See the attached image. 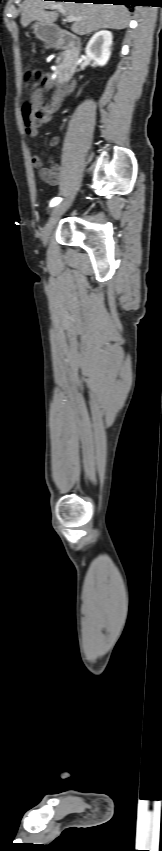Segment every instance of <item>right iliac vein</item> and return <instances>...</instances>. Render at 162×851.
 Returning a JSON list of instances; mask_svg holds the SVG:
<instances>
[{"label": "right iliac vein", "instance_id": "obj_1", "mask_svg": "<svg viewBox=\"0 0 162 851\" xmlns=\"http://www.w3.org/2000/svg\"><path fill=\"white\" fill-rule=\"evenodd\" d=\"M73 198H74V194L72 193L70 195L69 200L63 202L62 204H60L58 206H56L53 209V211L51 212L49 220L46 223L44 230H43V233H42V242H43L44 245H47L48 240L50 238V235H51L57 221L59 220L61 215H63L65 213V211L69 208Z\"/></svg>", "mask_w": 162, "mask_h": 851}]
</instances>
